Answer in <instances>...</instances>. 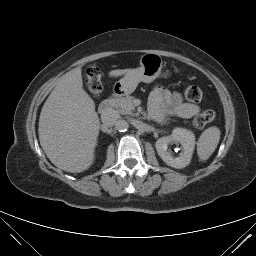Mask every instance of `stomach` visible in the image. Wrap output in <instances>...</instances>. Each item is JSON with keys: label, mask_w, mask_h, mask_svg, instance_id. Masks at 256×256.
Here are the masks:
<instances>
[{"label": "stomach", "mask_w": 256, "mask_h": 256, "mask_svg": "<svg viewBox=\"0 0 256 256\" xmlns=\"http://www.w3.org/2000/svg\"><path fill=\"white\" fill-rule=\"evenodd\" d=\"M163 62L160 56L146 53L140 58V67L128 72L114 85L117 95L131 94L140 82L150 83L159 76H170L169 71L162 73Z\"/></svg>", "instance_id": "1"}]
</instances>
